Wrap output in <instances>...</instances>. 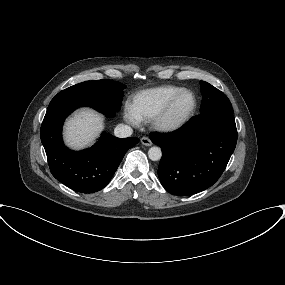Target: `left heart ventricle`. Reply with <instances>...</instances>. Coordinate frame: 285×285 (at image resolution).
I'll return each instance as SVG.
<instances>
[{"instance_id": "obj_1", "label": "left heart ventricle", "mask_w": 285, "mask_h": 285, "mask_svg": "<svg viewBox=\"0 0 285 285\" xmlns=\"http://www.w3.org/2000/svg\"><path fill=\"white\" fill-rule=\"evenodd\" d=\"M193 99L190 95L183 96L176 104L172 116L174 118H179L184 115L192 106Z\"/></svg>"}]
</instances>
